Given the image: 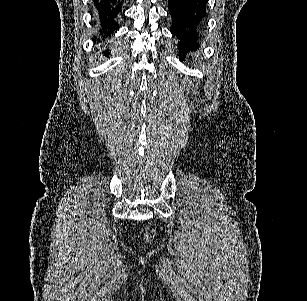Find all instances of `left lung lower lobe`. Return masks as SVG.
I'll list each match as a JSON object with an SVG mask.
<instances>
[{"label":"left lung lower lobe","mask_w":307,"mask_h":301,"mask_svg":"<svg viewBox=\"0 0 307 301\" xmlns=\"http://www.w3.org/2000/svg\"><path fill=\"white\" fill-rule=\"evenodd\" d=\"M207 0H169L172 17L171 32L180 40V54L185 49L198 46L206 17Z\"/></svg>","instance_id":"obj_1"}]
</instances>
